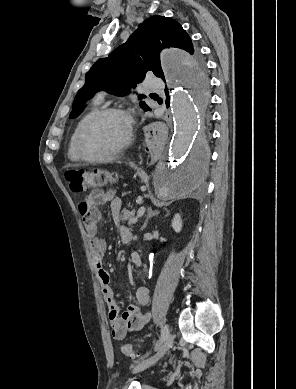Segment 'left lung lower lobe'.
<instances>
[{"label": "left lung lower lobe", "mask_w": 296, "mask_h": 389, "mask_svg": "<svg viewBox=\"0 0 296 389\" xmlns=\"http://www.w3.org/2000/svg\"><path fill=\"white\" fill-rule=\"evenodd\" d=\"M165 93L167 95L166 106L168 107L169 106V93H168V89H165ZM199 169H200V163H198L197 161L193 160V161H191V163L189 165V168H187V171H188V174L192 175L193 172H195V171H197ZM187 177L189 178V175ZM191 184H192V186H191V188H192L193 187V183H191Z\"/></svg>", "instance_id": "left-lung-lower-lobe-1"}]
</instances>
